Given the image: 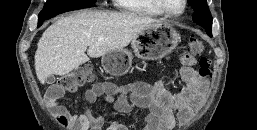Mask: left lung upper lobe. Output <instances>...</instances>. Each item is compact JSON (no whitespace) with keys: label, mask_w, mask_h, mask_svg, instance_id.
Masks as SVG:
<instances>
[{"label":"left lung upper lobe","mask_w":257,"mask_h":130,"mask_svg":"<svg viewBox=\"0 0 257 130\" xmlns=\"http://www.w3.org/2000/svg\"><path fill=\"white\" fill-rule=\"evenodd\" d=\"M188 2L195 11L193 21L203 26L207 34L211 36L212 16L206 0H188Z\"/></svg>","instance_id":"5c2ea615"}]
</instances>
